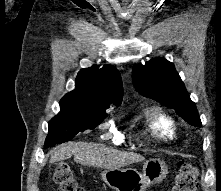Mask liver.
Wrapping results in <instances>:
<instances>
[{"mask_svg":"<svg viewBox=\"0 0 221 191\" xmlns=\"http://www.w3.org/2000/svg\"><path fill=\"white\" fill-rule=\"evenodd\" d=\"M72 155L74 161L81 165L104 169H118L144 160L143 156L132 152L118 151L87 142H69L55 148L49 162L63 161Z\"/></svg>","mask_w":221,"mask_h":191,"instance_id":"6515ba94","label":"liver"}]
</instances>
